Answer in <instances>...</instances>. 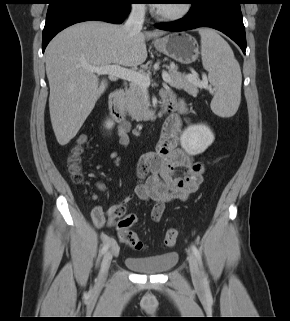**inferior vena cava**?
<instances>
[{
    "label": "inferior vena cava",
    "mask_w": 290,
    "mask_h": 321,
    "mask_svg": "<svg viewBox=\"0 0 290 321\" xmlns=\"http://www.w3.org/2000/svg\"><path fill=\"white\" fill-rule=\"evenodd\" d=\"M145 6L143 4H134L130 15L123 28L128 33L140 32L144 23Z\"/></svg>",
    "instance_id": "1"
}]
</instances>
